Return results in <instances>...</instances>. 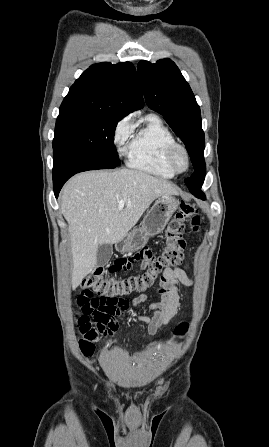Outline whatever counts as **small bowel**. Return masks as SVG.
Masks as SVG:
<instances>
[{"label": "small bowel", "instance_id": "1", "mask_svg": "<svg viewBox=\"0 0 269 447\" xmlns=\"http://www.w3.org/2000/svg\"><path fill=\"white\" fill-rule=\"evenodd\" d=\"M178 283L187 287L193 284V281L188 274L187 267L167 269L163 273L161 286L158 290L159 298L150 305L151 315H136L138 321H142L148 325V331L145 335L146 337L156 334L158 329L167 325L177 313L180 300ZM146 300V296H139L131 302V305L133 307H138Z\"/></svg>", "mask_w": 269, "mask_h": 447}]
</instances>
